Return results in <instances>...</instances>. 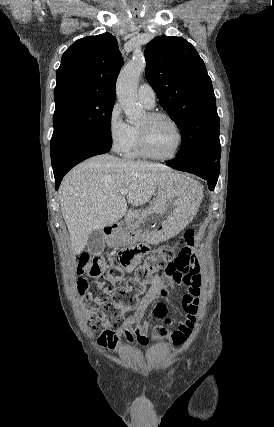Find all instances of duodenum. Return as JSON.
Returning <instances> with one entry per match:
<instances>
[{
  "label": "duodenum",
  "mask_w": 274,
  "mask_h": 427,
  "mask_svg": "<svg viewBox=\"0 0 274 427\" xmlns=\"http://www.w3.org/2000/svg\"><path fill=\"white\" fill-rule=\"evenodd\" d=\"M117 224H112L106 228L107 234H112L116 230Z\"/></svg>",
  "instance_id": "1"
}]
</instances>
